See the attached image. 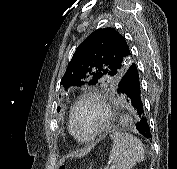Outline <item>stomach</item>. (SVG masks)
Listing matches in <instances>:
<instances>
[{"label": "stomach", "instance_id": "1", "mask_svg": "<svg viewBox=\"0 0 177 169\" xmlns=\"http://www.w3.org/2000/svg\"><path fill=\"white\" fill-rule=\"evenodd\" d=\"M60 167H62V165H60V166L58 167V169H60Z\"/></svg>", "mask_w": 177, "mask_h": 169}]
</instances>
